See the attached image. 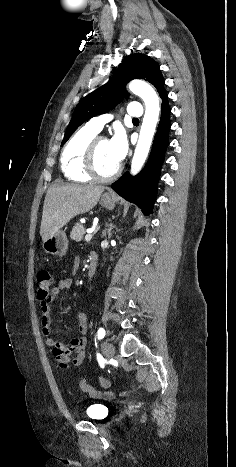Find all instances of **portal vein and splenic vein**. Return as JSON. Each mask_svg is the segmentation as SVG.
<instances>
[{
  "label": "portal vein and splenic vein",
  "instance_id": "1",
  "mask_svg": "<svg viewBox=\"0 0 236 467\" xmlns=\"http://www.w3.org/2000/svg\"><path fill=\"white\" fill-rule=\"evenodd\" d=\"M98 229H99L98 227L89 229L87 231L88 234L85 236V240L90 241L92 239V237H93V234H95Z\"/></svg>",
  "mask_w": 236,
  "mask_h": 467
}]
</instances>
